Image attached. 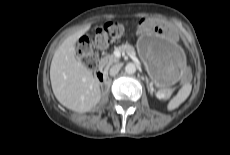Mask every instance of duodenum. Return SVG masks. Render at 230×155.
I'll list each match as a JSON object with an SVG mask.
<instances>
[{
	"label": "duodenum",
	"mask_w": 230,
	"mask_h": 155,
	"mask_svg": "<svg viewBox=\"0 0 230 155\" xmlns=\"http://www.w3.org/2000/svg\"><path fill=\"white\" fill-rule=\"evenodd\" d=\"M97 80L100 83H104L108 80V74L107 71L104 68H100L95 73Z\"/></svg>",
	"instance_id": "duodenum-1"
}]
</instances>
